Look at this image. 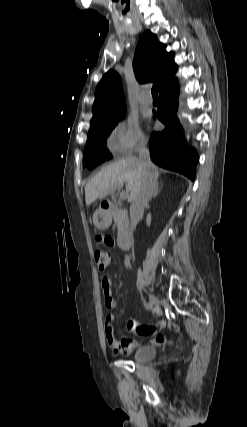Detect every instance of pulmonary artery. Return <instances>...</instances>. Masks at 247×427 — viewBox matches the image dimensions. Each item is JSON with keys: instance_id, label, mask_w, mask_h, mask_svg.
<instances>
[{"instance_id": "1", "label": "pulmonary artery", "mask_w": 247, "mask_h": 427, "mask_svg": "<svg viewBox=\"0 0 247 427\" xmlns=\"http://www.w3.org/2000/svg\"><path fill=\"white\" fill-rule=\"evenodd\" d=\"M140 103L142 105L148 106L152 104V98L149 95H142L140 97Z\"/></svg>"}]
</instances>
